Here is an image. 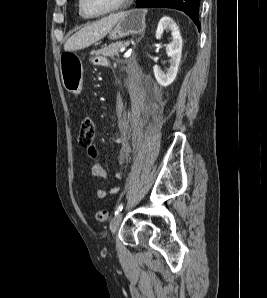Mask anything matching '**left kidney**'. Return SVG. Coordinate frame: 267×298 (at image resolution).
I'll use <instances>...</instances> for the list:
<instances>
[{"instance_id": "obj_1", "label": "left kidney", "mask_w": 267, "mask_h": 298, "mask_svg": "<svg viewBox=\"0 0 267 298\" xmlns=\"http://www.w3.org/2000/svg\"><path fill=\"white\" fill-rule=\"evenodd\" d=\"M165 30H170L173 38L172 42L166 46V53L168 57H170V67L166 72H163L160 67L156 65L153 71L157 82L161 86L167 87L175 80L178 72L182 54V38L179 27L170 17L160 19L156 30V39H160Z\"/></svg>"}]
</instances>
